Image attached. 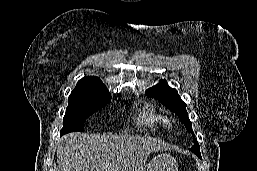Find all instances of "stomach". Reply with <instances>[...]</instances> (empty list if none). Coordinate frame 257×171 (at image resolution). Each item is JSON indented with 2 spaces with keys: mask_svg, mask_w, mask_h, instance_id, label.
Masks as SVG:
<instances>
[{
  "mask_svg": "<svg viewBox=\"0 0 257 171\" xmlns=\"http://www.w3.org/2000/svg\"><path fill=\"white\" fill-rule=\"evenodd\" d=\"M176 160L169 154L155 156L145 168V171H177Z\"/></svg>",
  "mask_w": 257,
  "mask_h": 171,
  "instance_id": "obj_1",
  "label": "stomach"
}]
</instances>
